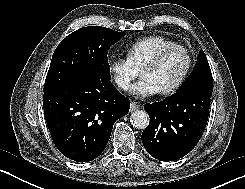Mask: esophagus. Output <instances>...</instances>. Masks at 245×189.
I'll list each match as a JSON object with an SVG mask.
<instances>
[{
  "instance_id": "1",
  "label": "esophagus",
  "mask_w": 245,
  "mask_h": 189,
  "mask_svg": "<svg viewBox=\"0 0 245 189\" xmlns=\"http://www.w3.org/2000/svg\"><path fill=\"white\" fill-rule=\"evenodd\" d=\"M140 108V106L135 103V102H131L130 103V112H134L135 110H138Z\"/></svg>"
}]
</instances>
